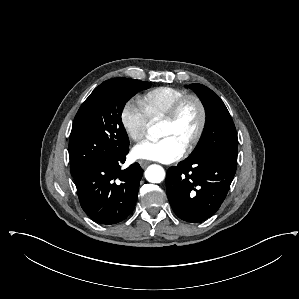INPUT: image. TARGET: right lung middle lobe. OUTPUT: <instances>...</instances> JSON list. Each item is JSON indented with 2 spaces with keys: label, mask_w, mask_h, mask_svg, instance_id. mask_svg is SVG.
Listing matches in <instances>:
<instances>
[{
  "label": "right lung middle lobe",
  "mask_w": 299,
  "mask_h": 299,
  "mask_svg": "<svg viewBox=\"0 0 299 299\" xmlns=\"http://www.w3.org/2000/svg\"><path fill=\"white\" fill-rule=\"evenodd\" d=\"M149 82L113 78L99 85L79 108L69 139L70 170L75 177L89 166L128 149L121 122L125 103Z\"/></svg>",
  "instance_id": "right-lung-middle-lobe-1"
}]
</instances>
